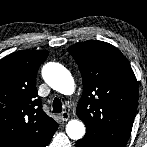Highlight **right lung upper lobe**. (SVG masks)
I'll use <instances>...</instances> for the list:
<instances>
[{
    "instance_id": "cb5924a9",
    "label": "right lung upper lobe",
    "mask_w": 147,
    "mask_h": 147,
    "mask_svg": "<svg viewBox=\"0 0 147 147\" xmlns=\"http://www.w3.org/2000/svg\"><path fill=\"white\" fill-rule=\"evenodd\" d=\"M48 54L18 51L0 60V147H42L57 130L36 89L37 71Z\"/></svg>"
}]
</instances>
